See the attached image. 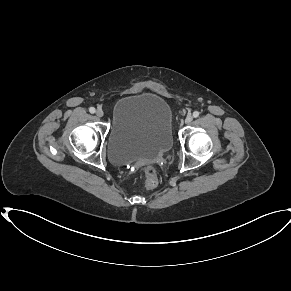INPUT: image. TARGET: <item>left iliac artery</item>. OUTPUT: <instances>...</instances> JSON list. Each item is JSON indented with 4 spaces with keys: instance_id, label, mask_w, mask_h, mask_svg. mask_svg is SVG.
Wrapping results in <instances>:
<instances>
[{
    "instance_id": "44dca946",
    "label": "left iliac artery",
    "mask_w": 291,
    "mask_h": 291,
    "mask_svg": "<svg viewBox=\"0 0 291 291\" xmlns=\"http://www.w3.org/2000/svg\"><path fill=\"white\" fill-rule=\"evenodd\" d=\"M198 116H199V112L198 111L193 112V117L194 118H197Z\"/></svg>"
}]
</instances>
